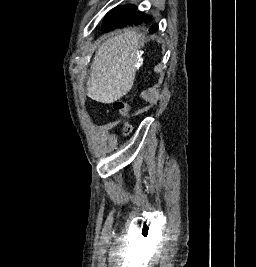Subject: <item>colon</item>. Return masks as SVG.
Segmentation results:
<instances>
[{"mask_svg":"<svg viewBox=\"0 0 256 267\" xmlns=\"http://www.w3.org/2000/svg\"><path fill=\"white\" fill-rule=\"evenodd\" d=\"M114 108H115L116 110L122 112L123 114H126L127 111H128V107H127V105H126L124 102H121V101L116 102V103L114 104ZM129 130H130V127L127 125V126L125 127V129H124V132H125V133H128Z\"/></svg>","mask_w":256,"mask_h":267,"instance_id":"colon-1","label":"colon"}]
</instances>
